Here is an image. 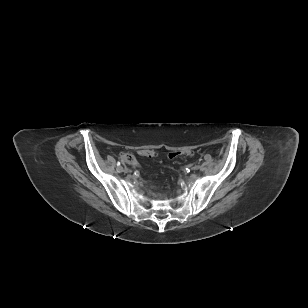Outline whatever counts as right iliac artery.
<instances>
[{
  "mask_svg": "<svg viewBox=\"0 0 308 308\" xmlns=\"http://www.w3.org/2000/svg\"><path fill=\"white\" fill-rule=\"evenodd\" d=\"M121 163L120 162H117V171L118 172H121L122 171V167L120 166Z\"/></svg>",
  "mask_w": 308,
  "mask_h": 308,
  "instance_id": "82829eb1",
  "label": "right iliac artery"
}]
</instances>
